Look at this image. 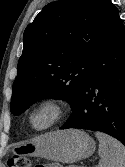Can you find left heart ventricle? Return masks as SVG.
<instances>
[{
  "label": "left heart ventricle",
  "instance_id": "1",
  "mask_svg": "<svg viewBox=\"0 0 125 167\" xmlns=\"http://www.w3.org/2000/svg\"><path fill=\"white\" fill-rule=\"evenodd\" d=\"M48 120V113L42 112L35 118V123L37 125L44 124Z\"/></svg>",
  "mask_w": 125,
  "mask_h": 167
}]
</instances>
